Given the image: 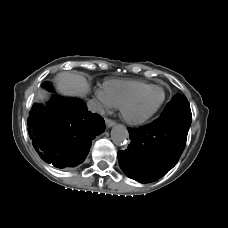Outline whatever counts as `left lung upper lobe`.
<instances>
[{
    "mask_svg": "<svg viewBox=\"0 0 228 228\" xmlns=\"http://www.w3.org/2000/svg\"><path fill=\"white\" fill-rule=\"evenodd\" d=\"M162 113L189 117L191 116L190 104L184 95L176 94Z\"/></svg>",
    "mask_w": 228,
    "mask_h": 228,
    "instance_id": "left-lung-upper-lobe-1",
    "label": "left lung upper lobe"
}]
</instances>
